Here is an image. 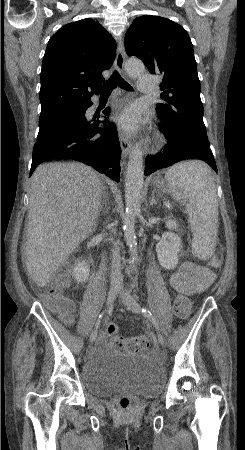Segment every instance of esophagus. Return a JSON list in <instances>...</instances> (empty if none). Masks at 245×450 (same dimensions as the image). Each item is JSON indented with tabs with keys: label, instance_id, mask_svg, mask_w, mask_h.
Returning <instances> with one entry per match:
<instances>
[{
	"label": "esophagus",
	"instance_id": "obj_1",
	"mask_svg": "<svg viewBox=\"0 0 245 450\" xmlns=\"http://www.w3.org/2000/svg\"><path fill=\"white\" fill-rule=\"evenodd\" d=\"M125 58H126V52L124 50L123 43H122V41H119L117 53H116V59H115V68L120 73L124 72ZM119 141H120V146L122 149V154L126 158L129 155L130 150H131V146H132L131 141L123 133H120Z\"/></svg>",
	"mask_w": 245,
	"mask_h": 450
}]
</instances>
